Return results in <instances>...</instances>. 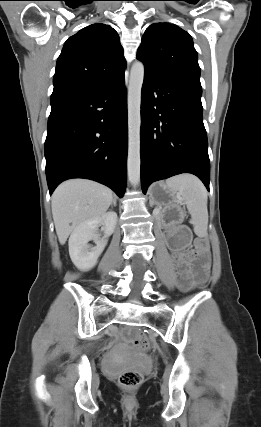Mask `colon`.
I'll return each instance as SVG.
<instances>
[{"label": "colon", "mask_w": 261, "mask_h": 427, "mask_svg": "<svg viewBox=\"0 0 261 427\" xmlns=\"http://www.w3.org/2000/svg\"><path fill=\"white\" fill-rule=\"evenodd\" d=\"M133 343L141 352H147L149 349L148 339L143 335H135ZM118 382L125 389H136L142 384L143 375L138 371H126L119 376Z\"/></svg>", "instance_id": "obj_1"}]
</instances>
